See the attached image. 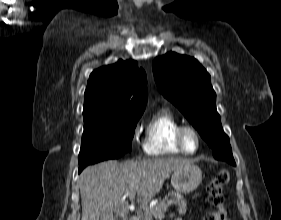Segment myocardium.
Wrapping results in <instances>:
<instances>
[{
    "instance_id": "myocardium-1",
    "label": "myocardium",
    "mask_w": 281,
    "mask_h": 220,
    "mask_svg": "<svg viewBox=\"0 0 281 220\" xmlns=\"http://www.w3.org/2000/svg\"><path fill=\"white\" fill-rule=\"evenodd\" d=\"M187 134H192L196 139V147L194 150L190 151L186 147L185 138ZM176 141L180 149L188 155L195 154L199 151L201 146V136L198 130L190 125H181L176 132Z\"/></svg>"
}]
</instances>
